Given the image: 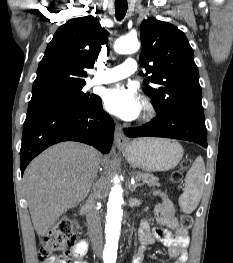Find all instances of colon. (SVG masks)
<instances>
[{"mask_svg":"<svg viewBox=\"0 0 233 263\" xmlns=\"http://www.w3.org/2000/svg\"><path fill=\"white\" fill-rule=\"evenodd\" d=\"M190 160L182 163V168H188ZM180 174L177 172L172 176V181L177 182ZM182 228L189 229L192 226V218L182 214L179 218ZM74 220L64 219L58 223L56 228L48 232L41 241L40 259L43 263H71V256L75 255V248L78 244L77 235L74 231Z\"/></svg>","mask_w":233,"mask_h":263,"instance_id":"obj_1","label":"colon"}]
</instances>
